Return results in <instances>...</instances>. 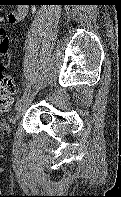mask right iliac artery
Segmentation results:
<instances>
[{
	"mask_svg": "<svg viewBox=\"0 0 121 197\" xmlns=\"http://www.w3.org/2000/svg\"><path fill=\"white\" fill-rule=\"evenodd\" d=\"M29 91H30V85H27V88H26L24 94L22 95V97L16 103V106H15L16 109H18L19 106L23 103V101L28 97Z\"/></svg>",
	"mask_w": 121,
	"mask_h": 197,
	"instance_id": "right-iliac-artery-1",
	"label": "right iliac artery"
}]
</instances>
